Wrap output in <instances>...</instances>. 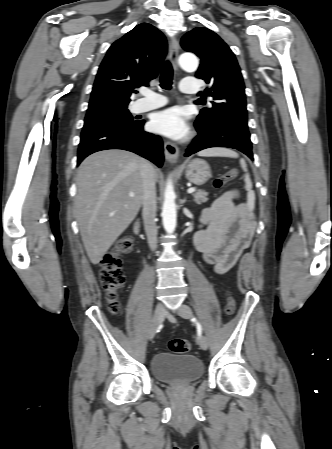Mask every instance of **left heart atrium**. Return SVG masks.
<instances>
[{"label": "left heart atrium", "instance_id": "1", "mask_svg": "<svg viewBox=\"0 0 332 449\" xmlns=\"http://www.w3.org/2000/svg\"><path fill=\"white\" fill-rule=\"evenodd\" d=\"M152 131L171 138H180L187 133V125L178 108H169L153 115L150 121Z\"/></svg>", "mask_w": 332, "mask_h": 449}]
</instances>
